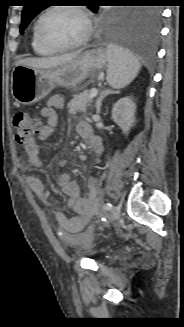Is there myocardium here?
Masks as SVG:
<instances>
[{
    "label": "myocardium",
    "instance_id": "myocardium-1",
    "mask_svg": "<svg viewBox=\"0 0 184 327\" xmlns=\"http://www.w3.org/2000/svg\"><path fill=\"white\" fill-rule=\"evenodd\" d=\"M70 9L75 12H77L83 19L85 23V33L83 36L70 44H64V45H58L53 42H51L49 39L46 38V36L43 33L42 29V24L45 19V17L52 11L57 10V9ZM35 30H36V35L38 37V40L48 49L53 50L55 52H60V51H67L71 49L78 48L82 45H84L91 37L92 34V22L90 19L89 14L87 11L80 5H74V4H69V5H63V4H58V5H52L46 8L39 16L36 25H35Z\"/></svg>",
    "mask_w": 184,
    "mask_h": 327
}]
</instances>
